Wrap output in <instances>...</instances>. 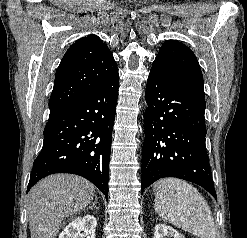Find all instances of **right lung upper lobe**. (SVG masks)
I'll use <instances>...</instances> for the list:
<instances>
[{"label": "right lung upper lobe", "instance_id": "obj_1", "mask_svg": "<svg viewBox=\"0 0 247 238\" xmlns=\"http://www.w3.org/2000/svg\"><path fill=\"white\" fill-rule=\"evenodd\" d=\"M117 73L112 53L98 36L79 39L68 49L56 72L50 114L87 95Z\"/></svg>", "mask_w": 247, "mask_h": 238}]
</instances>
